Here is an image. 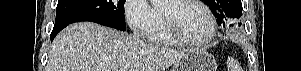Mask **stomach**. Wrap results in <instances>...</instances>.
<instances>
[{"label": "stomach", "instance_id": "0dacf381", "mask_svg": "<svg viewBox=\"0 0 301 71\" xmlns=\"http://www.w3.org/2000/svg\"><path fill=\"white\" fill-rule=\"evenodd\" d=\"M172 71H217V62L205 49H195L177 61Z\"/></svg>", "mask_w": 301, "mask_h": 71}]
</instances>
